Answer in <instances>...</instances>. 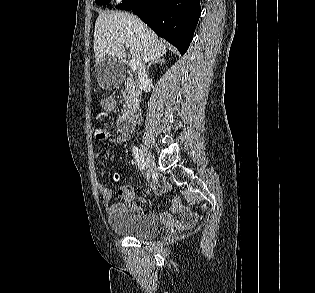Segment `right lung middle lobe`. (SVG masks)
<instances>
[{"instance_id": "obj_1", "label": "right lung middle lobe", "mask_w": 315, "mask_h": 293, "mask_svg": "<svg viewBox=\"0 0 315 293\" xmlns=\"http://www.w3.org/2000/svg\"><path fill=\"white\" fill-rule=\"evenodd\" d=\"M111 0H95L96 4L98 5H106L110 2Z\"/></svg>"}]
</instances>
